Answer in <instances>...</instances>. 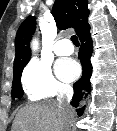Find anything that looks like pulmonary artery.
<instances>
[{"label": "pulmonary artery", "instance_id": "e3ab8cb5", "mask_svg": "<svg viewBox=\"0 0 117 131\" xmlns=\"http://www.w3.org/2000/svg\"><path fill=\"white\" fill-rule=\"evenodd\" d=\"M74 51L71 42L68 39H60L54 45V52L59 55H70Z\"/></svg>", "mask_w": 117, "mask_h": 131}]
</instances>
